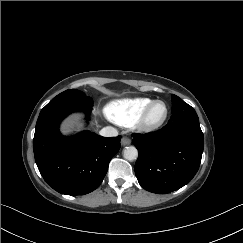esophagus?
I'll list each match as a JSON object with an SVG mask.
<instances>
[{"mask_svg": "<svg viewBox=\"0 0 243 243\" xmlns=\"http://www.w3.org/2000/svg\"><path fill=\"white\" fill-rule=\"evenodd\" d=\"M131 144V140L128 137H122L121 139V145L122 146H127Z\"/></svg>", "mask_w": 243, "mask_h": 243, "instance_id": "obj_1", "label": "esophagus"}]
</instances>
